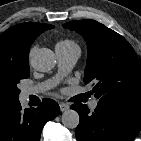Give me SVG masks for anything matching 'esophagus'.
<instances>
[{"label":"esophagus","instance_id":"34e87169","mask_svg":"<svg viewBox=\"0 0 141 141\" xmlns=\"http://www.w3.org/2000/svg\"><path fill=\"white\" fill-rule=\"evenodd\" d=\"M59 106H60L61 112L67 111L69 109V105L66 103H60Z\"/></svg>","mask_w":141,"mask_h":141}]
</instances>
